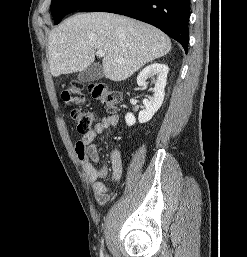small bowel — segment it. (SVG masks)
Wrapping results in <instances>:
<instances>
[{"instance_id":"obj_1","label":"small bowel","mask_w":247,"mask_h":257,"mask_svg":"<svg viewBox=\"0 0 247 257\" xmlns=\"http://www.w3.org/2000/svg\"><path fill=\"white\" fill-rule=\"evenodd\" d=\"M117 124V115L112 114L103 117L91 131L85 133L75 144L76 156L91 183L95 199L100 204H105L109 201L111 187L102 181L108 175L107 166L104 163L96 166V164L100 163V157L94 141L100 134L115 127ZM111 167V179L113 182H116L121 177L123 170L122 156L119 148H114L111 152Z\"/></svg>"}]
</instances>
